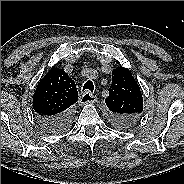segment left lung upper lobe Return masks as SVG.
<instances>
[{"label":"left lung upper lobe","mask_w":184,"mask_h":184,"mask_svg":"<svg viewBox=\"0 0 184 184\" xmlns=\"http://www.w3.org/2000/svg\"><path fill=\"white\" fill-rule=\"evenodd\" d=\"M111 122L121 128L130 127L143 111V99L139 84L131 72L120 66L112 71L109 96L105 99Z\"/></svg>","instance_id":"1"}]
</instances>
